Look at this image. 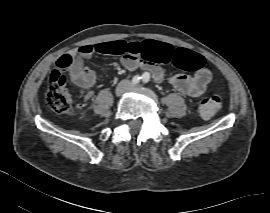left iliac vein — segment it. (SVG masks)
<instances>
[{
    "instance_id": "left-iliac-vein-1",
    "label": "left iliac vein",
    "mask_w": 270,
    "mask_h": 213,
    "mask_svg": "<svg viewBox=\"0 0 270 213\" xmlns=\"http://www.w3.org/2000/svg\"><path fill=\"white\" fill-rule=\"evenodd\" d=\"M136 88H138V85H131L130 86V89H136Z\"/></svg>"
}]
</instances>
